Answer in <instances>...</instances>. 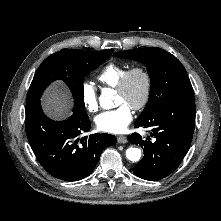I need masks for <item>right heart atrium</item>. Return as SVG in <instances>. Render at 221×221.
<instances>
[{
  "label": "right heart atrium",
  "mask_w": 221,
  "mask_h": 221,
  "mask_svg": "<svg viewBox=\"0 0 221 221\" xmlns=\"http://www.w3.org/2000/svg\"><path fill=\"white\" fill-rule=\"evenodd\" d=\"M81 98L85 109L88 112H96L99 108L98 94L96 87L90 81H84L81 85Z\"/></svg>",
  "instance_id": "d8ad5b80"
}]
</instances>
